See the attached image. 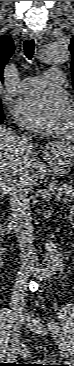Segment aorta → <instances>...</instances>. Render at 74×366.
<instances>
[{
    "label": "aorta",
    "instance_id": "762f6f07",
    "mask_svg": "<svg viewBox=\"0 0 74 366\" xmlns=\"http://www.w3.org/2000/svg\"><path fill=\"white\" fill-rule=\"evenodd\" d=\"M69 60V49L67 44L60 42H50L45 44L38 55L36 56V62L41 64H47L52 66H61ZM46 255L45 260L47 263L46 272L48 274H53L55 272L57 261H58V251L56 245L48 240L45 244Z\"/></svg>",
    "mask_w": 74,
    "mask_h": 366
}]
</instances>
